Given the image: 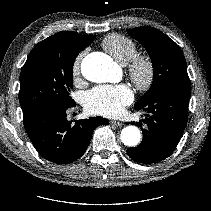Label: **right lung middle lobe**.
<instances>
[{"instance_id": "right-lung-middle-lobe-1", "label": "right lung middle lobe", "mask_w": 211, "mask_h": 211, "mask_svg": "<svg viewBox=\"0 0 211 211\" xmlns=\"http://www.w3.org/2000/svg\"><path fill=\"white\" fill-rule=\"evenodd\" d=\"M84 48L57 49L43 40L32 49L20 74L19 102L23 114L45 104L75 103L69 95L72 70L75 58Z\"/></svg>"}]
</instances>
